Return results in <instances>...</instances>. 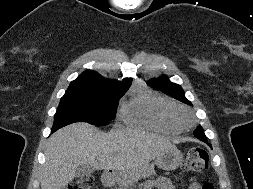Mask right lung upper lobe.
Masks as SVG:
<instances>
[{"label": "right lung upper lobe", "instance_id": "cb5924a9", "mask_svg": "<svg viewBox=\"0 0 253 189\" xmlns=\"http://www.w3.org/2000/svg\"><path fill=\"white\" fill-rule=\"evenodd\" d=\"M132 79L126 78L122 81L108 80L94 71L83 72L68 87L70 91H97V90H128Z\"/></svg>", "mask_w": 253, "mask_h": 189}]
</instances>
